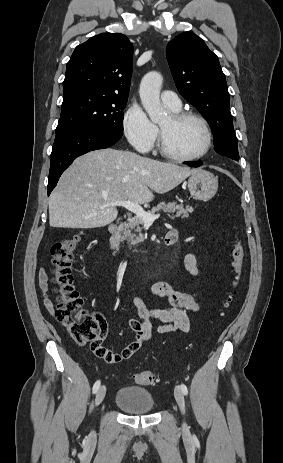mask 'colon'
<instances>
[{
	"instance_id": "obj_1",
	"label": "colon",
	"mask_w": 283,
	"mask_h": 463,
	"mask_svg": "<svg viewBox=\"0 0 283 463\" xmlns=\"http://www.w3.org/2000/svg\"><path fill=\"white\" fill-rule=\"evenodd\" d=\"M80 240L81 237L77 234L68 236L54 243L51 248V270L57 293L54 315L76 343L90 344L97 357L114 363L119 360L118 354L103 346V337L107 329L104 318L98 312L85 307L83 299L73 285L71 265ZM232 257L233 286L236 288L241 279L244 259V249L239 239L236 240ZM231 301L232 297L229 298L228 305ZM133 378L141 385H152L158 381L157 376L151 371L136 372Z\"/></svg>"
}]
</instances>
